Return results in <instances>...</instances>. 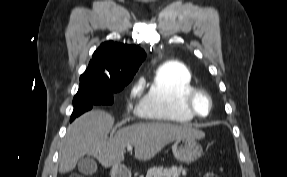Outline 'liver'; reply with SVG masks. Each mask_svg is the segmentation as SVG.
<instances>
[{
	"label": "liver",
	"mask_w": 287,
	"mask_h": 177,
	"mask_svg": "<svg viewBox=\"0 0 287 177\" xmlns=\"http://www.w3.org/2000/svg\"><path fill=\"white\" fill-rule=\"evenodd\" d=\"M114 118L107 112L92 110L77 118L69 127L59 152V172L72 171L77 161L91 155L104 167L124 161L125 148L134 146L138 160H149L167 144L183 137L202 139L205 133L187 125L136 123L119 129L108 138Z\"/></svg>",
	"instance_id": "liver-1"
}]
</instances>
